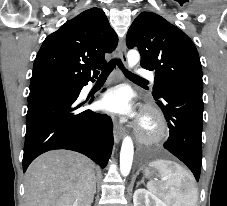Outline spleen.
Instances as JSON below:
<instances>
[{"label":"spleen","mask_w":227,"mask_h":206,"mask_svg":"<svg viewBox=\"0 0 227 206\" xmlns=\"http://www.w3.org/2000/svg\"><path fill=\"white\" fill-rule=\"evenodd\" d=\"M149 166L156 168L165 181H149L147 188L167 206H197V189L182 166L168 160L152 161Z\"/></svg>","instance_id":"3e777b00"}]
</instances>
